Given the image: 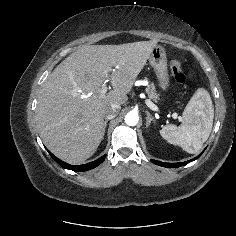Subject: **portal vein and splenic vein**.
I'll return each mask as SVG.
<instances>
[{
	"label": "portal vein and splenic vein",
	"mask_w": 236,
	"mask_h": 236,
	"mask_svg": "<svg viewBox=\"0 0 236 236\" xmlns=\"http://www.w3.org/2000/svg\"><path fill=\"white\" fill-rule=\"evenodd\" d=\"M107 90H108V88L104 85V86L102 87V89L100 90L101 95H102V96L105 95V93L107 92ZM146 104H147V106H148L150 109H152V110H154V111H157V110H158V107H157L151 100L147 99V100H146ZM173 117H174V118H177L178 115H177L176 113H174V114H173Z\"/></svg>",
	"instance_id": "18ae733b"
}]
</instances>
